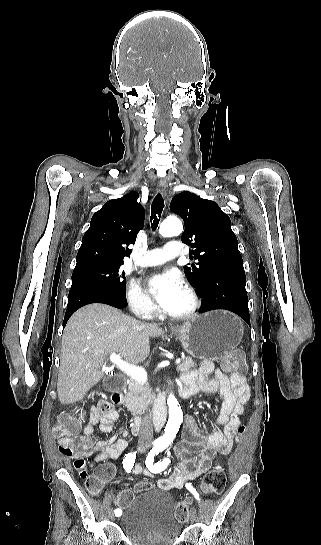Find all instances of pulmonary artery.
<instances>
[{
    "label": "pulmonary artery",
    "instance_id": "1",
    "mask_svg": "<svg viewBox=\"0 0 321 545\" xmlns=\"http://www.w3.org/2000/svg\"><path fill=\"white\" fill-rule=\"evenodd\" d=\"M180 243L178 241H166L164 248L145 250L143 252V260L138 262L141 267L156 266L165 263L166 261H177L180 259L181 254Z\"/></svg>",
    "mask_w": 321,
    "mask_h": 545
}]
</instances>
